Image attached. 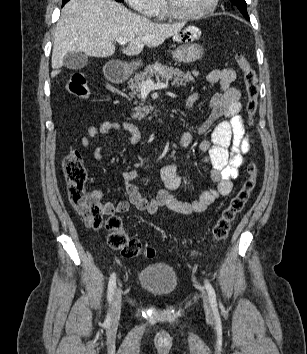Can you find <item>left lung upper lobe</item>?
<instances>
[{
  "mask_svg": "<svg viewBox=\"0 0 307 354\" xmlns=\"http://www.w3.org/2000/svg\"><path fill=\"white\" fill-rule=\"evenodd\" d=\"M233 4H235L240 12L249 20V16L247 14V4L245 0H230Z\"/></svg>",
  "mask_w": 307,
  "mask_h": 354,
  "instance_id": "5c2ea615",
  "label": "left lung upper lobe"
}]
</instances>
